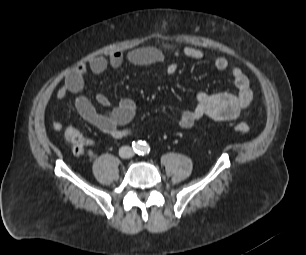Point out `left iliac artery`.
I'll return each instance as SVG.
<instances>
[{
  "mask_svg": "<svg viewBox=\"0 0 306 255\" xmlns=\"http://www.w3.org/2000/svg\"><path fill=\"white\" fill-rule=\"evenodd\" d=\"M150 150L149 146L144 143V146L142 147V154L148 153Z\"/></svg>",
  "mask_w": 306,
  "mask_h": 255,
  "instance_id": "44dca946",
  "label": "left iliac artery"
}]
</instances>
